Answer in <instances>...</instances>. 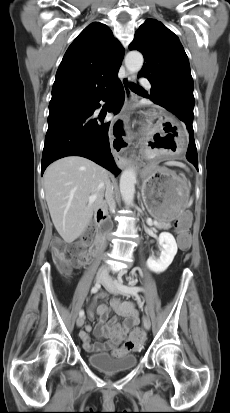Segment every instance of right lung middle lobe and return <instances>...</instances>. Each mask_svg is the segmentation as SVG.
<instances>
[{"mask_svg": "<svg viewBox=\"0 0 230 413\" xmlns=\"http://www.w3.org/2000/svg\"><path fill=\"white\" fill-rule=\"evenodd\" d=\"M78 105H80V104H63V105L49 107V110H50V113H53V112H56V111L70 109V108H73V107L78 106Z\"/></svg>", "mask_w": 230, "mask_h": 413, "instance_id": "1", "label": "right lung middle lobe"}]
</instances>
